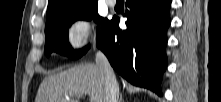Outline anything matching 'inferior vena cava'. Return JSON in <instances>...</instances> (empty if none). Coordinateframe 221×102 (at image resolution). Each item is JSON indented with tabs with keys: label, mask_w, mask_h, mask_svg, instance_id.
I'll return each instance as SVG.
<instances>
[{
	"label": "inferior vena cava",
	"mask_w": 221,
	"mask_h": 102,
	"mask_svg": "<svg viewBox=\"0 0 221 102\" xmlns=\"http://www.w3.org/2000/svg\"><path fill=\"white\" fill-rule=\"evenodd\" d=\"M96 65L103 69L105 75V100L104 102H118L119 87L114 71L103 52L98 51L95 57Z\"/></svg>",
	"instance_id": "inferior-vena-cava-1"
}]
</instances>
